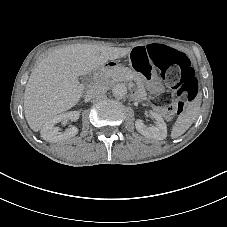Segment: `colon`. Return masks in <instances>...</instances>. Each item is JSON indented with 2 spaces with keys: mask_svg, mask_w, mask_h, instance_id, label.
Masks as SVG:
<instances>
[{
  "mask_svg": "<svg viewBox=\"0 0 227 227\" xmlns=\"http://www.w3.org/2000/svg\"><path fill=\"white\" fill-rule=\"evenodd\" d=\"M148 58L139 51H133L130 57L133 66L145 76L150 75L154 67L158 68L162 78L175 92V95L164 92L153 98L151 103L169 113L180 114L184 102L195 99L198 94V81L189 59L185 54L159 44L148 46Z\"/></svg>",
  "mask_w": 227,
  "mask_h": 227,
  "instance_id": "colon-1",
  "label": "colon"
}]
</instances>
